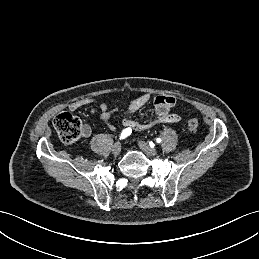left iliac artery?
<instances>
[{
  "instance_id": "obj_1",
  "label": "left iliac artery",
  "mask_w": 259,
  "mask_h": 259,
  "mask_svg": "<svg viewBox=\"0 0 259 259\" xmlns=\"http://www.w3.org/2000/svg\"><path fill=\"white\" fill-rule=\"evenodd\" d=\"M161 141H162L161 138H157V139H156V142H157V143H161ZM150 146L153 147V146L151 145V143H150Z\"/></svg>"
}]
</instances>
